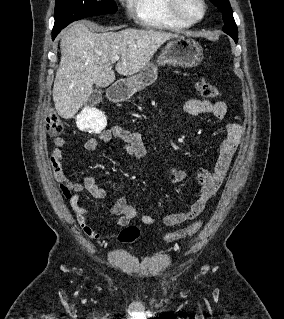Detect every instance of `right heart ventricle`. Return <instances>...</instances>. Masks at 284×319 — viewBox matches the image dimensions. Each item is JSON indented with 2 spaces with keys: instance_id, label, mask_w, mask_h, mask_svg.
Masks as SVG:
<instances>
[{
  "instance_id": "obj_1",
  "label": "right heart ventricle",
  "mask_w": 284,
  "mask_h": 319,
  "mask_svg": "<svg viewBox=\"0 0 284 319\" xmlns=\"http://www.w3.org/2000/svg\"><path fill=\"white\" fill-rule=\"evenodd\" d=\"M137 23L149 29L178 30L189 27L170 12L168 0H133Z\"/></svg>"
}]
</instances>
